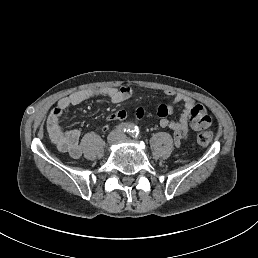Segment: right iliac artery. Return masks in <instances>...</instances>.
I'll use <instances>...</instances> for the list:
<instances>
[{
  "label": "right iliac artery",
  "instance_id": "1",
  "mask_svg": "<svg viewBox=\"0 0 258 258\" xmlns=\"http://www.w3.org/2000/svg\"><path fill=\"white\" fill-rule=\"evenodd\" d=\"M133 125L131 123H121L117 126H115V128L119 131H124V132H130L132 129Z\"/></svg>",
  "mask_w": 258,
  "mask_h": 258
}]
</instances>
